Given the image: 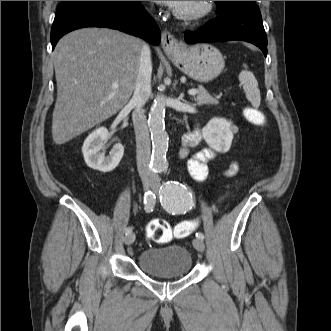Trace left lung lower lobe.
Segmentation results:
<instances>
[{
    "label": "left lung lower lobe",
    "instance_id": "1",
    "mask_svg": "<svg viewBox=\"0 0 331 331\" xmlns=\"http://www.w3.org/2000/svg\"><path fill=\"white\" fill-rule=\"evenodd\" d=\"M187 43L247 41L267 56V37L257 6L227 10L198 31L184 33Z\"/></svg>",
    "mask_w": 331,
    "mask_h": 331
}]
</instances>
